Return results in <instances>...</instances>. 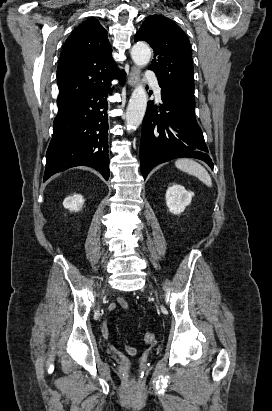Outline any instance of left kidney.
<instances>
[{
	"mask_svg": "<svg viewBox=\"0 0 272 411\" xmlns=\"http://www.w3.org/2000/svg\"><path fill=\"white\" fill-rule=\"evenodd\" d=\"M193 192L183 186L174 184L166 191V205L173 214H180L191 203Z\"/></svg>",
	"mask_w": 272,
	"mask_h": 411,
	"instance_id": "1",
	"label": "left kidney"
}]
</instances>
